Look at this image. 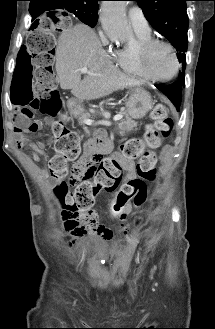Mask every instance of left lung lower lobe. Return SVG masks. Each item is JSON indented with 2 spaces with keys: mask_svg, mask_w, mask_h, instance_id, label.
<instances>
[{
  "mask_svg": "<svg viewBox=\"0 0 215 329\" xmlns=\"http://www.w3.org/2000/svg\"><path fill=\"white\" fill-rule=\"evenodd\" d=\"M185 86L184 78L178 80L177 82L165 86V87H158L160 91H162L167 97L172 101L175 107H179L181 103V89ZM179 110V108H177Z\"/></svg>",
  "mask_w": 215,
  "mask_h": 329,
  "instance_id": "left-lung-lower-lobe-1",
  "label": "left lung lower lobe"
}]
</instances>
